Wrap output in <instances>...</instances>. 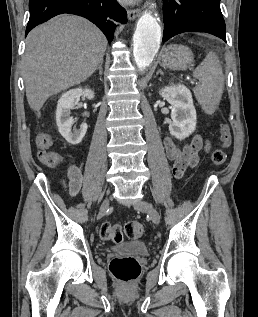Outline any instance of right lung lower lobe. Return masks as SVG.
Listing matches in <instances>:
<instances>
[{"mask_svg": "<svg viewBox=\"0 0 258 317\" xmlns=\"http://www.w3.org/2000/svg\"><path fill=\"white\" fill-rule=\"evenodd\" d=\"M30 18L26 35L35 26L50 18L69 13L87 18L105 34L108 41L113 39L115 23L126 22V11L116 0H30Z\"/></svg>", "mask_w": 258, "mask_h": 317, "instance_id": "98d812e1", "label": "right lung lower lobe"}]
</instances>
